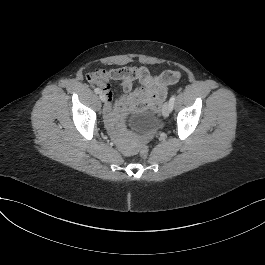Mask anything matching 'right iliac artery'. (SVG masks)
Wrapping results in <instances>:
<instances>
[{"mask_svg":"<svg viewBox=\"0 0 265 265\" xmlns=\"http://www.w3.org/2000/svg\"><path fill=\"white\" fill-rule=\"evenodd\" d=\"M94 91H95L96 94H100L101 93V90L99 88H95Z\"/></svg>","mask_w":265,"mask_h":265,"instance_id":"1","label":"right iliac artery"}]
</instances>
